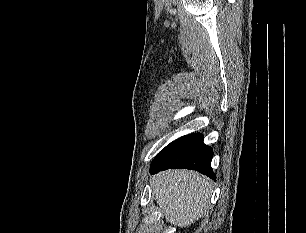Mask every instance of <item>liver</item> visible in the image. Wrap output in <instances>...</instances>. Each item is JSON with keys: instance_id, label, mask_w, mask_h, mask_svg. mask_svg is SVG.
<instances>
[{"instance_id": "1", "label": "liver", "mask_w": 306, "mask_h": 233, "mask_svg": "<svg viewBox=\"0 0 306 233\" xmlns=\"http://www.w3.org/2000/svg\"><path fill=\"white\" fill-rule=\"evenodd\" d=\"M153 195L167 222L186 227L206 211L211 195L208 179L186 170H167L151 179Z\"/></svg>"}]
</instances>
